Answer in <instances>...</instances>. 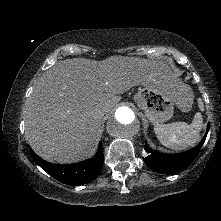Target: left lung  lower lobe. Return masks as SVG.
<instances>
[{
	"label": "left lung lower lobe",
	"mask_w": 221,
	"mask_h": 221,
	"mask_svg": "<svg viewBox=\"0 0 221 221\" xmlns=\"http://www.w3.org/2000/svg\"><path fill=\"white\" fill-rule=\"evenodd\" d=\"M208 131L209 125L207 126L206 134L201 142L193 149L180 154H163L153 150L151 151L148 145L145 143L144 149L149 153V155L144 158V162L149 168L159 173L173 174L183 171L198 155L206 139Z\"/></svg>",
	"instance_id": "1"
}]
</instances>
